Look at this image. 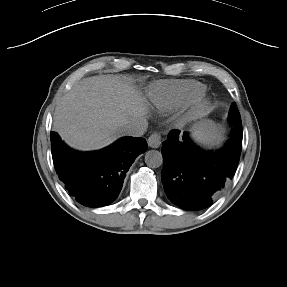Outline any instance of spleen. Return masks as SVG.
<instances>
[{
    "label": "spleen",
    "mask_w": 287,
    "mask_h": 287,
    "mask_svg": "<svg viewBox=\"0 0 287 287\" xmlns=\"http://www.w3.org/2000/svg\"><path fill=\"white\" fill-rule=\"evenodd\" d=\"M223 134V128L211 120L202 121L192 128V138L209 147L219 146L224 140Z\"/></svg>",
    "instance_id": "1"
}]
</instances>
